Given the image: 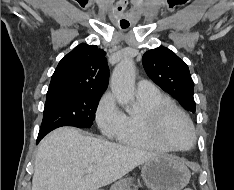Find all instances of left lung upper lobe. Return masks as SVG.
Instances as JSON below:
<instances>
[{"label":"left lung upper lobe","mask_w":234,"mask_h":190,"mask_svg":"<svg viewBox=\"0 0 234 190\" xmlns=\"http://www.w3.org/2000/svg\"><path fill=\"white\" fill-rule=\"evenodd\" d=\"M147 75L175 97L188 111L195 112L194 82L187 64L166 47L147 51L142 58Z\"/></svg>","instance_id":"obj_1"}]
</instances>
